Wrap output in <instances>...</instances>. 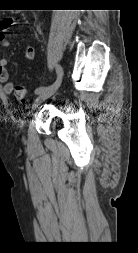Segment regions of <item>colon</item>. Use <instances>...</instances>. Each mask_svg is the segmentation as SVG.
I'll return each instance as SVG.
<instances>
[{
    "label": "colon",
    "mask_w": 138,
    "mask_h": 253,
    "mask_svg": "<svg viewBox=\"0 0 138 253\" xmlns=\"http://www.w3.org/2000/svg\"><path fill=\"white\" fill-rule=\"evenodd\" d=\"M13 93H14L15 98L18 101L25 102V101H28V99H29L28 98L29 91H28L27 86H25V85L17 86L14 89Z\"/></svg>",
    "instance_id": "5ec220e1"
}]
</instances>
